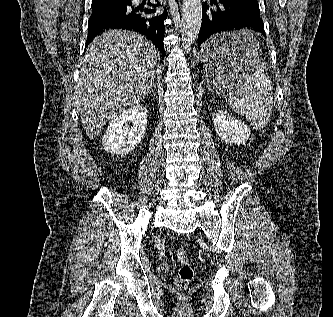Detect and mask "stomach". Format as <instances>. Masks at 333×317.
Returning a JSON list of instances; mask_svg holds the SVG:
<instances>
[{
  "mask_svg": "<svg viewBox=\"0 0 333 317\" xmlns=\"http://www.w3.org/2000/svg\"><path fill=\"white\" fill-rule=\"evenodd\" d=\"M208 40L200 49V62H207L200 88L223 93L237 88L238 82H267L246 81V74H257L251 70L260 69L252 29H221L208 33Z\"/></svg>",
  "mask_w": 333,
  "mask_h": 317,
  "instance_id": "obj_1",
  "label": "stomach"
}]
</instances>
